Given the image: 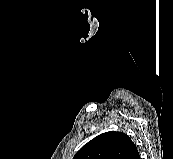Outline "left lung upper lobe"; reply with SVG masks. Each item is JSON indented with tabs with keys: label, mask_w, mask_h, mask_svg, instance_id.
I'll return each mask as SVG.
<instances>
[{
	"label": "left lung upper lobe",
	"mask_w": 173,
	"mask_h": 159,
	"mask_svg": "<svg viewBox=\"0 0 173 159\" xmlns=\"http://www.w3.org/2000/svg\"><path fill=\"white\" fill-rule=\"evenodd\" d=\"M136 145L121 132H105L85 144L73 159H136Z\"/></svg>",
	"instance_id": "1"
}]
</instances>
